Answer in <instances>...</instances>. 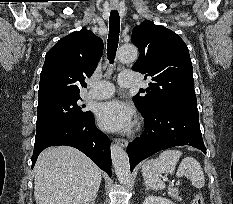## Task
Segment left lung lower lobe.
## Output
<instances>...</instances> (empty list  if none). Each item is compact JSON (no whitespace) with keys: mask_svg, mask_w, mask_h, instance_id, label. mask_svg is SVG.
<instances>
[{"mask_svg":"<svg viewBox=\"0 0 233 204\" xmlns=\"http://www.w3.org/2000/svg\"><path fill=\"white\" fill-rule=\"evenodd\" d=\"M142 114L145 129L127 147L131 171L140 161L174 146L191 145L206 154L197 109L160 106Z\"/></svg>","mask_w":233,"mask_h":204,"instance_id":"1","label":"left lung lower lobe"}]
</instances>
